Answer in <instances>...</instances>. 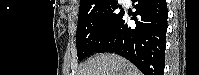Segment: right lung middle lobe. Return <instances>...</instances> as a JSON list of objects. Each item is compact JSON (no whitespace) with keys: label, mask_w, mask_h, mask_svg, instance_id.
I'll list each match as a JSON object with an SVG mask.
<instances>
[{"label":"right lung middle lobe","mask_w":199,"mask_h":75,"mask_svg":"<svg viewBox=\"0 0 199 75\" xmlns=\"http://www.w3.org/2000/svg\"><path fill=\"white\" fill-rule=\"evenodd\" d=\"M120 9L118 11L117 9ZM124 10L111 0L79 14L76 32L79 61L95 53L118 25Z\"/></svg>","instance_id":"1"}]
</instances>
